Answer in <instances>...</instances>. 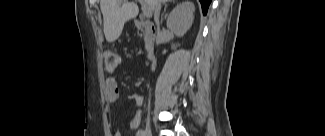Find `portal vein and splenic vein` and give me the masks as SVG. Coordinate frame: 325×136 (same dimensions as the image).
I'll use <instances>...</instances> for the list:
<instances>
[{"mask_svg": "<svg viewBox=\"0 0 325 136\" xmlns=\"http://www.w3.org/2000/svg\"><path fill=\"white\" fill-rule=\"evenodd\" d=\"M139 2H141V5H142L143 15H144L146 18L151 17L152 13H151L150 8H149L146 4H144V1H143V0H139Z\"/></svg>", "mask_w": 325, "mask_h": 136, "instance_id": "1", "label": "portal vein and splenic vein"}]
</instances>
